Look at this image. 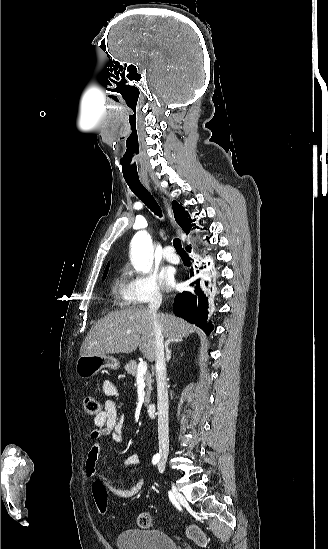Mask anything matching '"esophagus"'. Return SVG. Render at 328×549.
I'll return each instance as SVG.
<instances>
[{
    "instance_id": "34e87169",
    "label": "esophagus",
    "mask_w": 328,
    "mask_h": 549,
    "mask_svg": "<svg viewBox=\"0 0 328 549\" xmlns=\"http://www.w3.org/2000/svg\"><path fill=\"white\" fill-rule=\"evenodd\" d=\"M142 182H143L144 185H146L149 188V181L148 180H142ZM164 204H165V209H166L168 218L170 219L171 222H174L173 213H172L170 205L166 201L164 202Z\"/></svg>"
}]
</instances>
